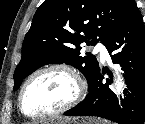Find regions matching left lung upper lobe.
Masks as SVG:
<instances>
[{
    "label": "left lung upper lobe",
    "instance_id": "left-lung-upper-lobe-1",
    "mask_svg": "<svg viewBox=\"0 0 145 124\" xmlns=\"http://www.w3.org/2000/svg\"><path fill=\"white\" fill-rule=\"evenodd\" d=\"M135 4L134 0H45L23 41L22 58L14 72V91L26 76L54 63L78 68L90 88L100 70L99 63L95 56H80V45L101 41L106 46Z\"/></svg>",
    "mask_w": 145,
    "mask_h": 124
}]
</instances>
